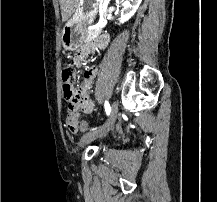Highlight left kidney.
I'll list each match as a JSON object with an SVG mask.
<instances>
[{
	"instance_id": "obj_1",
	"label": "left kidney",
	"mask_w": 217,
	"mask_h": 202,
	"mask_svg": "<svg viewBox=\"0 0 217 202\" xmlns=\"http://www.w3.org/2000/svg\"><path fill=\"white\" fill-rule=\"evenodd\" d=\"M118 2H124L121 18H119V24H124V22H128V20L134 16L142 0H118ZM115 24H117V22H115Z\"/></svg>"
}]
</instances>
